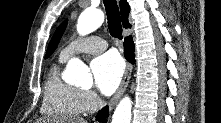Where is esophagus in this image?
<instances>
[{
    "label": "esophagus",
    "instance_id": "esophagus-1",
    "mask_svg": "<svg viewBox=\"0 0 221 123\" xmlns=\"http://www.w3.org/2000/svg\"><path fill=\"white\" fill-rule=\"evenodd\" d=\"M131 74H132V65L130 63H128L127 68L124 73V76H123V79L121 81V84H120L117 92L111 98V100L109 102V109L110 110L114 108V106L117 104V102L119 101V99L123 95L124 91L126 90L128 83L130 81V78H131Z\"/></svg>",
    "mask_w": 221,
    "mask_h": 123
}]
</instances>
